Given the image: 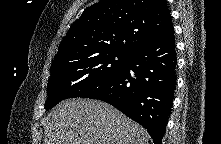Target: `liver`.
Listing matches in <instances>:
<instances>
[{"instance_id":"obj_1","label":"liver","mask_w":221,"mask_h":144,"mask_svg":"<svg viewBox=\"0 0 221 144\" xmlns=\"http://www.w3.org/2000/svg\"><path fill=\"white\" fill-rule=\"evenodd\" d=\"M44 144H148V132L111 105L68 99L50 113Z\"/></svg>"}]
</instances>
